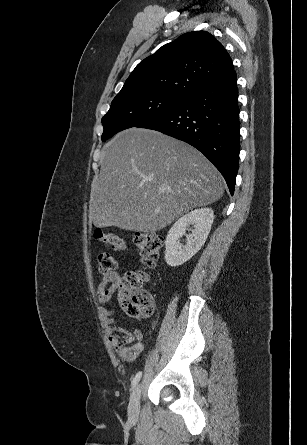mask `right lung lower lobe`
<instances>
[{
	"instance_id": "right-lung-lower-lobe-1",
	"label": "right lung lower lobe",
	"mask_w": 307,
	"mask_h": 445,
	"mask_svg": "<svg viewBox=\"0 0 307 445\" xmlns=\"http://www.w3.org/2000/svg\"><path fill=\"white\" fill-rule=\"evenodd\" d=\"M235 71L186 96L172 110L135 127L189 143L221 172L234 194L239 165V108Z\"/></svg>"
}]
</instances>
